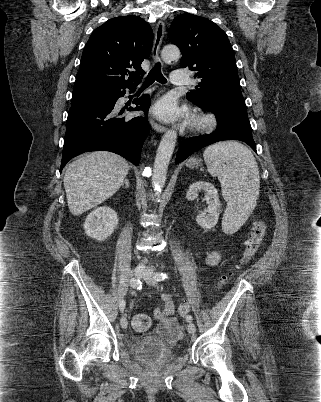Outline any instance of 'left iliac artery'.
Wrapping results in <instances>:
<instances>
[{
  "instance_id": "44dca946",
  "label": "left iliac artery",
  "mask_w": 321,
  "mask_h": 402,
  "mask_svg": "<svg viewBox=\"0 0 321 402\" xmlns=\"http://www.w3.org/2000/svg\"><path fill=\"white\" fill-rule=\"evenodd\" d=\"M166 278H167V275H166L165 273H163V272H158V273L155 274V279H156L157 281H162V280H164V279H166ZM186 320H187L188 322H191V321H192V316L188 315V316L186 317Z\"/></svg>"
}]
</instances>
